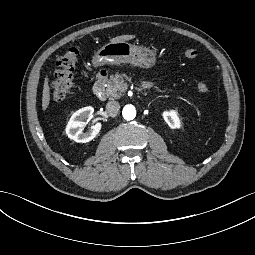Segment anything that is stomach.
Segmentation results:
<instances>
[{
    "mask_svg": "<svg viewBox=\"0 0 255 255\" xmlns=\"http://www.w3.org/2000/svg\"><path fill=\"white\" fill-rule=\"evenodd\" d=\"M92 62L95 67L130 63L134 66L149 68L155 64V54L148 48L126 41L110 42L95 53Z\"/></svg>",
    "mask_w": 255,
    "mask_h": 255,
    "instance_id": "obj_1",
    "label": "stomach"
}]
</instances>
